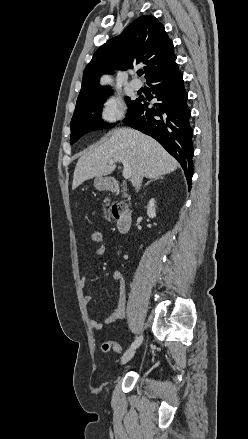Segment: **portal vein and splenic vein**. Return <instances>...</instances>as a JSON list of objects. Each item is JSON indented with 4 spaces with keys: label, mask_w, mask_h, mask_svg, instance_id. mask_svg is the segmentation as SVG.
Returning a JSON list of instances; mask_svg holds the SVG:
<instances>
[{
    "label": "portal vein and splenic vein",
    "mask_w": 248,
    "mask_h": 439,
    "mask_svg": "<svg viewBox=\"0 0 248 439\" xmlns=\"http://www.w3.org/2000/svg\"><path fill=\"white\" fill-rule=\"evenodd\" d=\"M115 162H122V164H123V177L125 179H129L131 177V174H132V169H131L130 165L122 158L116 159V160H110L109 164H113Z\"/></svg>",
    "instance_id": "obj_1"
}]
</instances>
